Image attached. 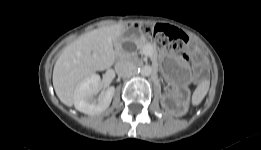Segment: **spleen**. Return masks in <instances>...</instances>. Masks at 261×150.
<instances>
[{"label": "spleen", "instance_id": "1", "mask_svg": "<svg viewBox=\"0 0 261 150\" xmlns=\"http://www.w3.org/2000/svg\"><path fill=\"white\" fill-rule=\"evenodd\" d=\"M210 82L209 81H203L201 82L196 90L194 91L192 95V105L197 106L199 105L202 100L204 99L205 95L207 94L209 90Z\"/></svg>", "mask_w": 261, "mask_h": 150}]
</instances>
